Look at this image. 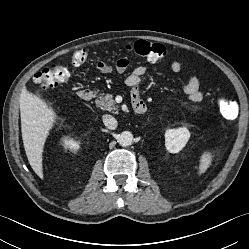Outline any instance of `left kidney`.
Listing matches in <instances>:
<instances>
[{"label":"left kidney","instance_id":"left-kidney-1","mask_svg":"<svg viewBox=\"0 0 249 249\" xmlns=\"http://www.w3.org/2000/svg\"><path fill=\"white\" fill-rule=\"evenodd\" d=\"M190 132L186 127L168 129L165 132V146L170 153H178L186 145Z\"/></svg>","mask_w":249,"mask_h":249}]
</instances>
